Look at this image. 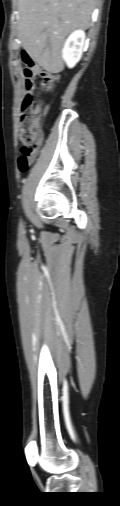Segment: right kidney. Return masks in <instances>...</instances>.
I'll return each instance as SVG.
<instances>
[{
  "label": "right kidney",
  "instance_id": "right-kidney-1",
  "mask_svg": "<svg viewBox=\"0 0 120 506\" xmlns=\"http://www.w3.org/2000/svg\"><path fill=\"white\" fill-rule=\"evenodd\" d=\"M86 37L82 30H76L67 38L62 50V57L68 67L72 68L80 60Z\"/></svg>",
  "mask_w": 120,
  "mask_h": 506
}]
</instances>
